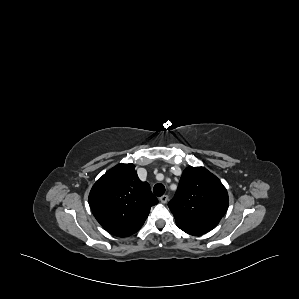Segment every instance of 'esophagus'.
<instances>
[{
  "instance_id": "1",
  "label": "esophagus",
  "mask_w": 299,
  "mask_h": 299,
  "mask_svg": "<svg viewBox=\"0 0 299 299\" xmlns=\"http://www.w3.org/2000/svg\"><path fill=\"white\" fill-rule=\"evenodd\" d=\"M159 200H160L161 203L165 204V203L168 202L169 197H168V195H163V196L160 197Z\"/></svg>"
}]
</instances>
